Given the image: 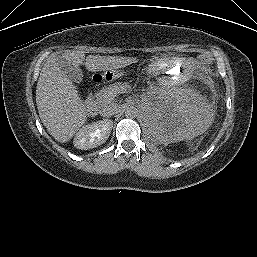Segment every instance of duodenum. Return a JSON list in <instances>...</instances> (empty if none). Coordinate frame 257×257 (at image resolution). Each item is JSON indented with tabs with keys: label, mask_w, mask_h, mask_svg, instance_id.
I'll return each instance as SVG.
<instances>
[{
	"label": "duodenum",
	"mask_w": 257,
	"mask_h": 257,
	"mask_svg": "<svg viewBox=\"0 0 257 257\" xmlns=\"http://www.w3.org/2000/svg\"><path fill=\"white\" fill-rule=\"evenodd\" d=\"M84 110L89 115H94L97 111L96 103L91 94H88L86 97Z\"/></svg>",
	"instance_id": "obj_1"
}]
</instances>
